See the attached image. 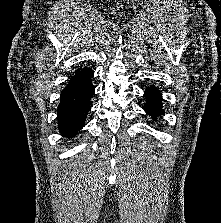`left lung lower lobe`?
Instances as JSON below:
<instances>
[{
	"mask_svg": "<svg viewBox=\"0 0 221 223\" xmlns=\"http://www.w3.org/2000/svg\"><path fill=\"white\" fill-rule=\"evenodd\" d=\"M144 96L147 99V103L144 105L145 112L157 120L159 115L164 114L160 91L156 87L150 86L145 90Z\"/></svg>",
	"mask_w": 221,
	"mask_h": 223,
	"instance_id": "1",
	"label": "left lung lower lobe"
}]
</instances>
